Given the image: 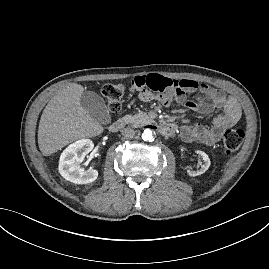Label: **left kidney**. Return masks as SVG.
I'll return each mask as SVG.
<instances>
[{
    "label": "left kidney",
    "instance_id": "1",
    "mask_svg": "<svg viewBox=\"0 0 269 269\" xmlns=\"http://www.w3.org/2000/svg\"><path fill=\"white\" fill-rule=\"evenodd\" d=\"M196 153L200 157H202L204 163L200 164L201 165L200 169H198L196 171L195 170H187V174L189 176H193V177L203 174L205 171L208 170V168L210 167V164H211L210 158L205 152H203L201 150H197Z\"/></svg>",
    "mask_w": 269,
    "mask_h": 269
}]
</instances>
